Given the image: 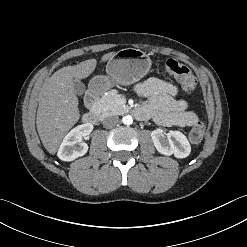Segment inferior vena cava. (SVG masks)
Here are the masks:
<instances>
[{
	"label": "inferior vena cava",
	"mask_w": 247,
	"mask_h": 247,
	"mask_svg": "<svg viewBox=\"0 0 247 247\" xmlns=\"http://www.w3.org/2000/svg\"><path fill=\"white\" fill-rule=\"evenodd\" d=\"M119 122H120V119L118 118V116H109L103 120V125L106 128H110V127H113L119 124Z\"/></svg>",
	"instance_id": "obj_1"
}]
</instances>
